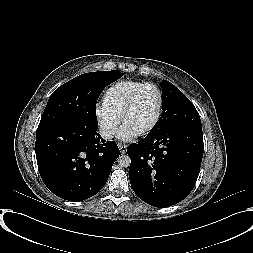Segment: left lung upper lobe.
Returning <instances> with one entry per match:
<instances>
[{"instance_id":"obj_1","label":"left lung upper lobe","mask_w":253,"mask_h":253,"mask_svg":"<svg viewBox=\"0 0 253 253\" xmlns=\"http://www.w3.org/2000/svg\"><path fill=\"white\" fill-rule=\"evenodd\" d=\"M163 111L149 133H158L178 126H199L201 120L192 102L172 83L162 81Z\"/></svg>"}]
</instances>
